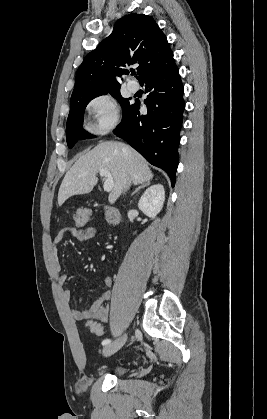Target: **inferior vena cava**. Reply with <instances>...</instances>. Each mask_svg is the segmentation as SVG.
<instances>
[{
  "mask_svg": "<svg viewBox=\"0 0 267 419\" xmlns=\"http://www.w3.org/2000/svg\"><path fill=\"white\" fill-rule=\"evenodd\" d=\"M130 180L128 179L126 182H125V185H124V188H123V191L125 192L128 188H129V186H130Z\"/></svg>",
  "mask_w": 267,
  "mask_h": 419,
  "instance_id": "inferior-vena-cava-1",
  "label": "inferior vena cava"
}]
</instances>
